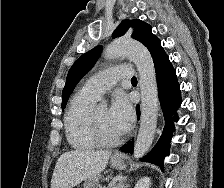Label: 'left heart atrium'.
Masks as SVG:
<instances>
[{"label": "left heart atrium", "instance_id": "left-heart-atrium-1", "mask_svg": "<svg viewBox=\"0 0 224 188\" xmlns=\"http://www.w3.org/2000/svg\"><path fill=\"white\" fill-rule=\"evenodd\" d=\"M109 116L121 134L129 128L134 118V111L125 95L119 94L115 97L109 109Z\"/></svg>", "mask_w": 224, "mask_h": 188}]
</instances>
